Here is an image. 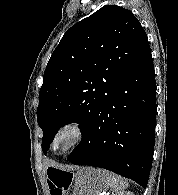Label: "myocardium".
<instances>
[{
	"instance_id": "obj_1",
	"label": "myocardium",
	"mask_w": 178,
	"mask_h": 195,
	"mask_svg": "<svg viewBox=\"0 0 178 195\" xmlns=\"http://www.w3.org/2000/svg\"><path fill=\"white\" fill-rule=\"evenodd\" d=\"M62 134H70L72 136V140L66 149L62 151H58L56 150V142ZM83 138H84V129L82 128L81 125L74 122L66 123L62 125L60 128H58V130L55 132L51 141V147L55 153L58 154L68 153L74 148H76L82 142Z\"/></svg>"
}]
</instances>
